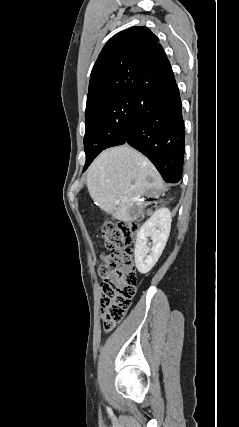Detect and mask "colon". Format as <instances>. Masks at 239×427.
Returning a JSON list of instances; mask_svg holds the SVG:
<instances>
[{
    "mask_svg": "<svg viewBox=\"0 0 239 427\" xmlns=\"http://www.w3.org/2000/svg\"><path fill=\"white\" fill-rule=\"evenodd\" d=\"M137 229V222H110L101 229V238L109 251L99 267L102 321L107 331L125 317L136 293L132 243Z\"/></svg>",
    "mask_w": 239,
    "mask_h": 427,
    "instance_id": "1",
    "label": "colon"
}]
</instances>
